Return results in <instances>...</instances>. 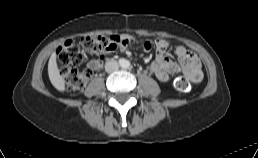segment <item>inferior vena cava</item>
I'll return each instance as SVG.
<instances>
[{
  "instance_id": "602c4592",
  "label": "inferior vena cava",
  "mask_w": 258,
  "mask_h": 158,
  "mask_svg": "<svg viewBox=\"0 0 258 158\" xmlns=\"http://www.w3.org/2000/svg\"><path fill=\"white\" fill-rule=\"evenodd\" d=\"M119 69V64L115 60H110L105 64V70L108 73L114 72Z\"/></svg>"
}]
</instances>
